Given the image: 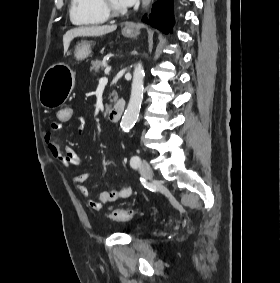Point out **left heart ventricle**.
Masks as SVG:
<instances>
[{"label": "left heart ventricle", "instance_id": "obj_1", "mask_svg": "<svg viewBox=\"0 0 280 283\" xmlns=\"http://www.w3.org/2000/svg\"><path fill=\"white\" fill-rule=\"evenodd\" d=\"M111 5L117 9H125L126 7L122 4L121 0H109Z\"/></svg>", "mask_w": 280, "mask_h": 283}]
</instances>
